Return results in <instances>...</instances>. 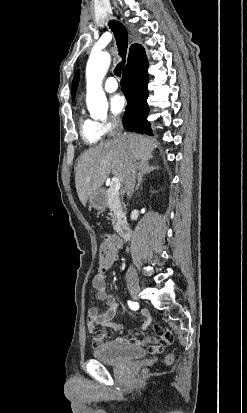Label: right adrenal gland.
<instances>
[{
    "mask_svg": "<svg viewBox=\"0 0 247 413\" xmlns=\"http://www.w3.org/2000/svg\"><path fill=\"white\" fill-rule=\"evenodd\" d=\"M155 168H158V166H150L149 164V158H147V160H141V168H139V172H138V182L135 186V190H138L141 182H142V176H144V174H148V172H150V170H155Z\"/></svg>",
    "mask_w": 247,
    "mask_h": 413,
    "instance_id": "obj_1",
    "label": "right adrenal gland"
}]
</instances>
